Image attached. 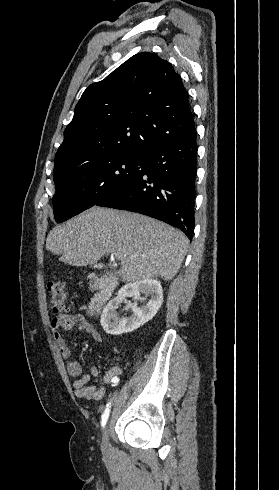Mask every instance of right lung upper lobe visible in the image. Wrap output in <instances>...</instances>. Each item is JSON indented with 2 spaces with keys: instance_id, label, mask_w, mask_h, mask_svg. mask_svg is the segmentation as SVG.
I'll return each mask as SVG.
<instances>
[{
  "instance_id": "cb5924a9",
  "label": "right lung upper lobe",
  "mask_w": 279,
  "mask_h": 490,
  "mask_svg": "<svg viewBox=\"0 0 279 490\" xmlns=\"http://www.w3.org/2000/svg\"><path fill=\"white\" fill-rule=\"evenodd\" d=\"M195 131L181 77L158 55L139 53L84 91L56 153L54 177L107 154L145 158Z\"/></svg>"
}]
</instances>
